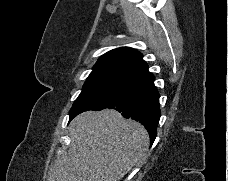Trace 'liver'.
I'll use <instances>...</instances> for the list:
<instances>
[{
    "label": "liver",
    "mask_w": 228,
    "mask_h": 181,
    "mask_svg": "<svg viewBox=\"0 0 228 181\" xmlns=\"http://www.w3.org/2000/svg\"><path fill=\"white\" fill-rule=\"evenodd\" d=\"M69 129V149L51 169L49 181H121L136 163L146 161V129L114 109L81 113Z\"/></svg>",
    "instance_id": "obj_1"
}]
</instances>
